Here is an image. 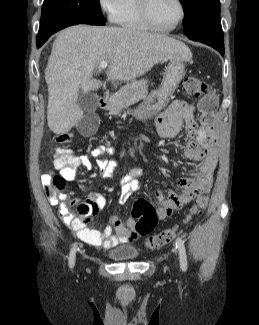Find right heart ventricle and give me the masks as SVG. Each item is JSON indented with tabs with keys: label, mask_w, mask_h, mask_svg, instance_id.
<instances>
[{
	"label": "right heart ventricle",
	"mask_w": 259,
	"mask_h": 325,
	"mask_svg": "<svg viewBox=\"0 0 259 325\" xmlns=\"http://www.w3.org/2000/svg\"><path fill=\"white\" fill-rule=\"evenodd\" d=\"M114 21L120 26L132 30H149L139 8V0H123L120 11Z\"/></svg>",
	"instance_id": "right-heart-ventricle-1"
}]
</instances>
